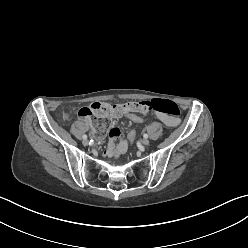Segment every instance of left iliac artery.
Masks as SVG:
<instances>
[{
    "label": "left iliac artery",
    "instance_id": "obj_1",
    "mask_svg": "<svg viewBox=\"0 0 248 248\" xmlns=\"http://www.w3.org/2000/svg\"><path fill=\"white\" fill-rule=\"evenodd\" d=\"M143 137H144V138H148V134L145 133V134L143 135Z\"/></svg>",
    "mask_w": 248,
    "mask_h": 248
}]
</instances>
